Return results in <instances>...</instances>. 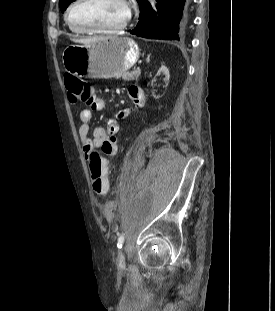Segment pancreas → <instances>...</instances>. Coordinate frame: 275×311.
I'll use <instances>...</instances> for the list:
<instances>
[{
  "label": "pancreas",
  "instance_id": "cf45deb5",
  "mask_svg": "<svg viewBox=\"0 0 275 311\" xmlns=\"http://www.w3.org/2000/svg\"><path fill=\"white\" fill-rule=\"evenodd\" d=\"M140 73L137 71H131V72H125L121 75L122 79L124 81H131V80H137Z\"/></svg>",
  "mask_w": 275,
  "mask_h": 311
}]
</instances>
